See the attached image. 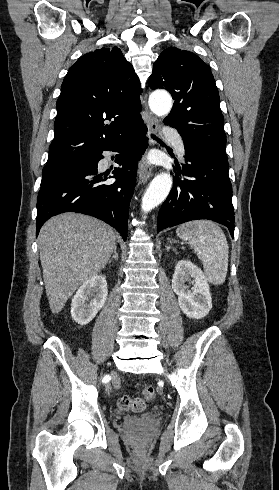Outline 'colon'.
<instances>
[{
    "label": "colon",
    "instance_id": "obj_1",
    "mask_svg": "<svg viewBox=\"0 0 279 490\" xmlns=\"http://www.w3.org/2000/svg\"><path fill=\"white\" fill-rule=\"evenodd\" d=\"M155 397V390L151 387L146 388L140 397L131 398L123 396L119 399L118 406L122 411L142 412L146 409Z\"/></svg>",
    "mask_w": 279,
    "mask_h": 490
}]
</instances>
